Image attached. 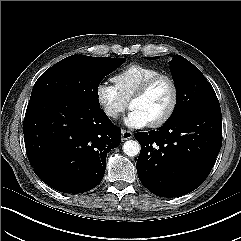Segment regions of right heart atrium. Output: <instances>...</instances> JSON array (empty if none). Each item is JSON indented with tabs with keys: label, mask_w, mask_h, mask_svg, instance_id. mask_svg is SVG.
Masks as SVG:
<instances>
[{
	"label": "right heart atrium",
	"mask_w": 241,
	"mask_h": 241,
	"mask_svg": "<svg viewBox=\"0 0 241 241\" xmlns=\"http://www.w3.org/2000/svg\"><path fill=\"white\" fill-rule=\"evenodd\" d=\"M96 101L109 119H117L127 107L126 100L117 88L108 82H100L95 88Z\"/></svg>",
	"instance_id": "1"
}]
</instances>
